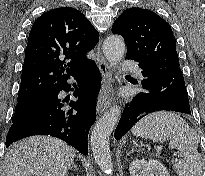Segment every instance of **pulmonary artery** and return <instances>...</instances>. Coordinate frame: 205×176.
<instances>
[{
  "instance_id": "e3ab8cb5",
  "label": "pulmonary artery",
  "mask_w": 205,
  "mask_h": 176,
  "mask_svg": "<svg viewBox=\"0 0 205 176\" xmlns=\"http://www.w3.org/2000/svg\"><path fill=\"white\" fill-rule=\"evenodd\" d=\"M121 69L123 71H130L135 73L139 78H142V74L138 65L132 63L128 58L123 57L121 59Z\"/></svg>"
}]
</instances>
